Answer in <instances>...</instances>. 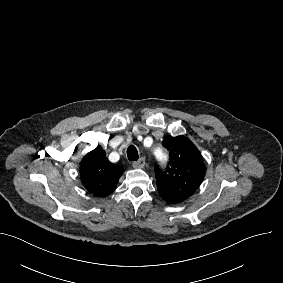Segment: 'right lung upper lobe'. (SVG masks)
<instances>
[{"instance_id": "1", "label": "right lung upper lobe", "mask_w": 283, "mask_h": 283, "mask_svg": "<svg viewBox=\"0 0 283 283\" xmlns=\"http://www.w3.org/2000/svg\"><path fill=\"white\" fill-rule=\"evenodd\" d=\"M104 150L98 146L82 160L80 176L83 186L97 197H106L116 188L124 169L110 163Z\"/></svg>"}]
</instances>
